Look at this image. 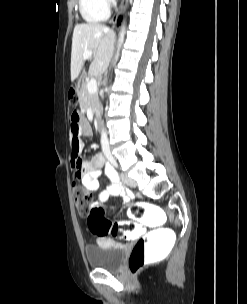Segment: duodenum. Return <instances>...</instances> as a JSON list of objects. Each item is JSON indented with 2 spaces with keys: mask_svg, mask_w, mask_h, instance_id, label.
I'll return each mask as SVG.
<instances>
[{
  "mask_svg": "<svg viewBox=\"0 0 247 304\" xmlns=\"http://www.w3.org/2000/svg\"><path fill=\"white\" fill-rule=\"evenodd\" d=\"M85 82V79L84 78H79V82H78V89H82L83 87H82V85H83V83ZM100 119H101V116H95V123H96V125H98L97 126V129H100Z\"/></svg>",
  "mask_w": 247,
  "mask_h": 304,
  "instance_id": "1",
  "label": "duodenum"
}]
</instances>
